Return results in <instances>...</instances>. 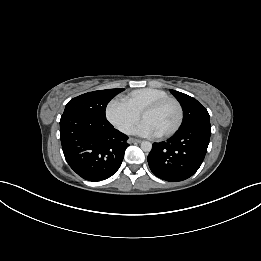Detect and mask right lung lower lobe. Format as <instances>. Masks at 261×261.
I'll use <instances>...</instances> for the list:
<instances>
[{"instance_id": "1", "label": "right lung lower lobe", "mask_w": 261, "mask_h": 261, "mask_svg": "<svg viewBox=\"0 0 261 261\" xmlns=\"http://www.w3.org/2000/svg\"><path fill=\"white\" fill-rule=\"evenodd\" d=\"M60 138L69 166L83 179L101 181L121 166L128 137L106 120L63 113Z\"/></svg>"}]
</instances>
